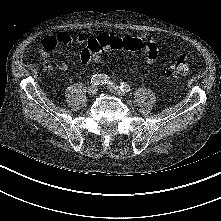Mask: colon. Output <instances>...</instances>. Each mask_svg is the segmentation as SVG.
<instances>
[{"label": "colon", "mask_w": 221, "mask_h": 221, "mask_svg": "<svg viewBox=\"0 0 221 221\" xmlns=\"http://www.w3.org/2000/svg\"><path fill=\"white\" fill-rule=\"evenodd\" d=\"M146 43L139 37H116L113 35H100L88 41L87 47L81 53V59L97 60L100 56L111 50H123L128 52H143ZM191 63L185 56L177 57L173 63L167 67L164 74L168 78H179L189 73Z\"/></svg>", "instance_id": "1"}]
</instances>
